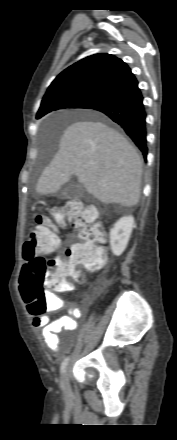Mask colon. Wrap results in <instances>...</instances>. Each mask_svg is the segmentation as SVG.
Returning a JSON list of instances; mask_svg holds the SVG:
<instances>
[{
  "label": "colon",
  "mask_w": 177,
  "mask_h": 440,
  "mask_svg": "<svg viewBox=\"0 0 177 440\" xmlns=\"http://www.w3.org/2000/svg\"><path fill=\"white\" fill-rule=\"evenodd\" d=\"M56 225L69 226L76 232L75 242L66 249L65 256L45 258L42 254L59 245L56 225L46 215H39L28 234L22 249L26 261L20 279V292L31 313L43 314L46 308L45 287L65 290L72 279L83 281L79 266L97 270L105 260V239L102 226L96 222L97 212L92 207L83 208L79 201H69L51 212Z\"/></svg>",
  "instance_id": "obj_1"
}]
</instances>
